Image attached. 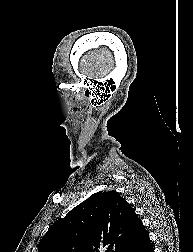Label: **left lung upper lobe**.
<instances>
[{
    "label": "left lung upper lobe",
    "mask_w": 193,
    "mask_h": 252,
    "mask_svg": "<svg viewBox=\"0 0 193 252\" xmlns=\"http://www.w3.org/2000/svg\"><path fill=\"white\" fill-rule=\"evenodd\" d=\"M140 222L119 193L100 191L54 223L38 252H124Z\"/></svg>",
    "instance_id": "left-lung-upper-lobe-1"
}]
</instances>
